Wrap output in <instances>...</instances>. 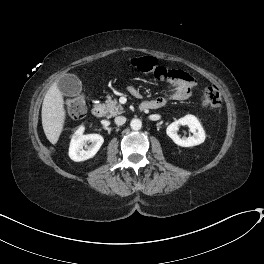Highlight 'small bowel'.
<instances>
[{
  "label": "small bowel",
  "mask_w": 264,
  "mask_h": 264,
  "mask_svg": "<svg viewBox=\"0 0 264 264\" xmlns=\"http://www.w3.org/2000/svg\"><path fill=\"white\" fill-rule=\"evenodd\" d=\"M167 84L169 86V97L176 100H181L189 97L196 86L194 79L180 69L172 70V76L167 80ZM129 91L133 96L141 98V94L138 90L130 88ZM134 92L138 93L137 96L133 94ZM167 100V97L148 99L144 100L141 106L145 105L148 107V109L151 110L159 109L166 104Z\"/></svg>",
  "instance_id": "small-bowel-1"
}]
</instances>
